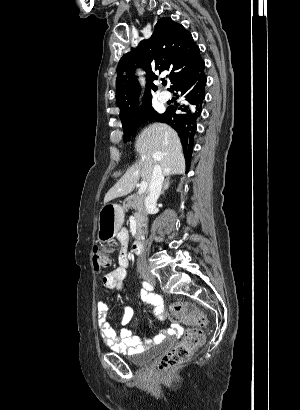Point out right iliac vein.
Wrapping results in <instances>:
<instances>
[{
  "label": "right iliac vein",
  "mask_w": 300,
  "mask_h": 410,
  "mask_svg": "<svg viewBox=\"0 0 300 410\" xmlns=\"http://www.w3.org/2000/svg\"><path fill=\"white\" fill-rule=\"evenodd\" d=\"M143 277H144V279H146V280H147L148 282H150V283H154V282H155V277L152 276L151 274L147 273V272H144V273H143Z\"/></svg>",
  "instance_id": "right-iliac-vein-1"
}]
</instances>
